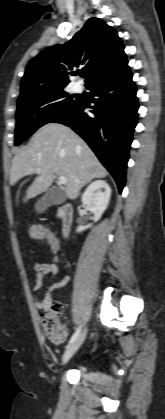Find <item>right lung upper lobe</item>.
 Masks as SVG:
<instances>
[{"label": "right lung upper lobe", "instance_id": "1", "mask_svg": "<svg viewBox=\"0 0 165 419\" xmlns=\"http://www.w3.org/2000/svg\"><path fill=\"white\" fill-rule=\"evenodd\" d=\"M124 45L117 32L98 18H90L74 37L52 46L32 59L21 82L18 101L38 93L63 89L75 67L85 64L86 87L126 63Z\"/></svg>", "mask_w": 165, "mask_h": 419}]
</instances>
